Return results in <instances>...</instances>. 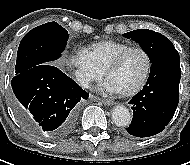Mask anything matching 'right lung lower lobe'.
Segmentation results:
<instances>
[{"label": "right lung lower lobe", "instance_id": "1", "mask_svg": "<svg viewBox=\"0 0 190 165\" xmlns=\"http://www.w3.org/2000/svg\"><path fill=\"white\" fill-rule=\"evenodd\" d=\"M13 107L22 125L46 140H60L75 128L78 102L88 93L57 67L35 66L11 81Z\"/></svg>", "mask_w": 190, "mask_h": 165}]
</instances>
